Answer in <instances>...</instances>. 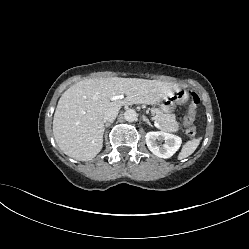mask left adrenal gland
Wrapping results in <instances>:
<instances>
[{
    "label": "left adrenal gland",
    "mask_w": 249,
    "mask_h": 249,
    "mask_svg": "<svg viewBox=\"0 0 249 249\" xmlns=\"http://www.w3.org/2000/svg\"><path fill=\"white\" fill-rule=\"evenodd\" d=\"M143 121H145L148 125L153 127L152 123L150 122V120L146 116H143Z\"/></svg>",
    "instance_id": "a2214340"
}]
</instances>
